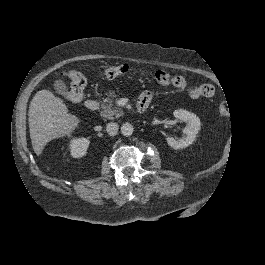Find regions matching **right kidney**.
<instances>
[{
	"label": "right kidney",
	"instance_id": "right-kidney-1",
	"mask_svg": "<svg viewBox=\"0 0 265 265\" xmlns=\"http://www.w3.org/2000/svg\"><path fill=\"white\" fill-rule=\"evenodd\" d=\"M90 141L86 138L73 139L70 142V151L73 158L83 157L88 149Z\"/></svg>",
	"mask_w": 265,
	"mask_h": 265
}]
</instances>
